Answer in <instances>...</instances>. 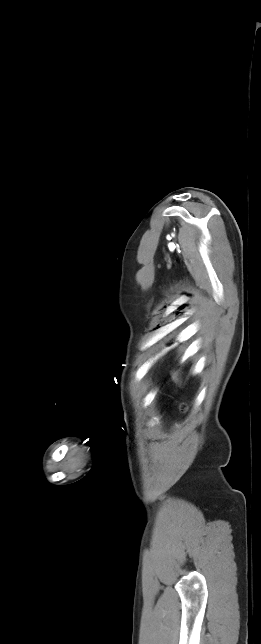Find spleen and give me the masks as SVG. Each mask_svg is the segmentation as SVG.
Masks as SVG:
<instances>
[{"label": "spleen", "instance_id": "obj_1", "mask_svg": "<svg viewBox=\"0 0 261 644\" xmlns=\"http://www.w3.org/2000/svg\"><path fill=\"white\" fill-rule=\"evenodd\" d=\"M172 378H173V380H174L175 382H177V380H178V379H177V377L175 376V374L172 376Z\"/></svg>", "mask_w": 261, "mask_h": 644}]
</instances>
